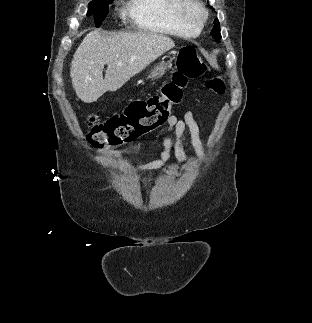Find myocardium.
I'll return each mask as SVG.
<instances>
[{"instance_id":"1","label":"myocardium","mask_w":312,"mask_h":323,"mask_svg":"<svg viewBox=\"0 0 312 323\" xmlns=\"http://www.w3.org/2000/svg\"><path fill=\"white\" fill-rule=\"evenodd\" d=\"M176 10H172L179 21H189L191 31H198L199 26L205 23L206 17L210 16V11L205 10L202 1L197 0H175Z\"/></svg>"}]
</instances>
